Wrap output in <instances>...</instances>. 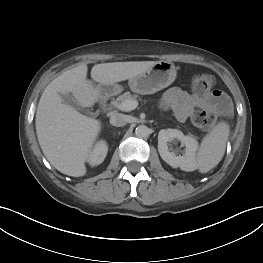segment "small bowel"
I'll return each mask as SVG.
<instances>
[{"instance_id":"obj_1","label":"small bowel","mask_w":263,"mask_h":263,"mask_svg":"<svg viewBox=\"0 0 263 263\" xmlns=\"http://www.w3.org/2000/svg\"><path fill=\"white\" fill-rule=\"evenodd\" d=\"M163 105L173 110L180 121L188 119L196 108L227 111L229 101L220 91H214L205 97L190 94L179 87L169 88L163 95Z\"/></svg>"}]
</instances>
